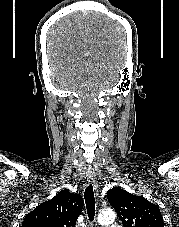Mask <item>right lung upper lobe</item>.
<instances>
[{"mask_svg":"<svg viewBox=\"0 0 179 227\" xmlns=\"http://www.w3.org/2000/svg\"><path fill=\"white\" fill-rule=\"evenodd\" d=\"M83 205L79 194L62 190L28 213L21 227H75Z\"/></svg>","mask_w":179,"mask_h":227,"instance_id":"1","label":"right lung upper lobe"}]
</instances>
